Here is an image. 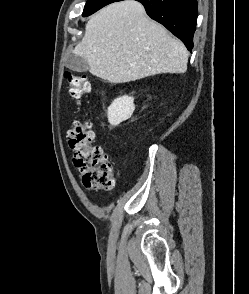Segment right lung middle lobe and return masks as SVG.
Listing matches in <instances>:
<instances>
[{
    "mask_svg": "<svg viewBox=\"0 0 249 294\" xmlns=\"http://www.w3.org/2000/svg\"><path fill=\"white\" fill-rule=\"evenodd\" d=\"M117 0H88L83 11V16L87 17L102 7L106 6L107 4H110L112 2H115Z\"/></svg>",
    "mask_w": 249,
    "mask_h": 294,
    "instance_id": "dd1d6c3e",
    "label": "right lung middle lobe"
}]
</instances>
